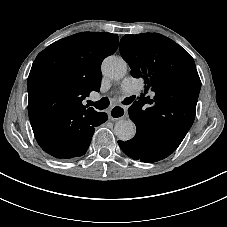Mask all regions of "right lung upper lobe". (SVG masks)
Returning <instances> with one entry per match:
<instances>
[{
	"mask_svg": "<svg viewBox=\"0 0 227 227\" xmlns=\"http://www.w3.org/2000/svg\"><path fill=\"white\" fill-rule=\"evenodd\" d=\"M118 35L108 32H82L63 38L36 57L28 77L30 122L47 116L101 112L86 108L82 101L91 91H99L101 63L118 47Z\"/></svg>",
	"mask_w": 227,
	"mask_h": 227,
	"instance_id": "obj_1",
	"label": "right lung upper lobe"
}]
</instances>
